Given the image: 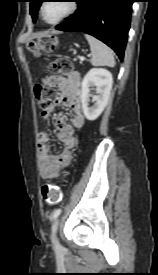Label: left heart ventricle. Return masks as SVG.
Listing matches in <instances>:
<instances>
[{"instance_id":"b2bd125f","label":"left heart ventricle","mask_w":158,"mask_h":275,"mask_svg":"<svg viewBox=\"0 0 158 275\" xmlns=\"http://www.w3.org/2000/svg\"><path fill=\"white\" fill-rule=\"evenodd\" d=\"M69 8L68 1L52 0L45 4L43 9L44 17L48 21H54L64 15Z\"/></svg>"}]
</instances>
